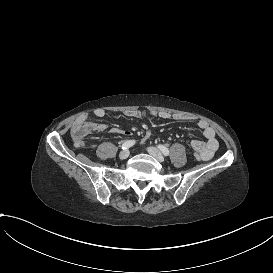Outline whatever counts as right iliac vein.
<instances>
[{
  "label": "right iliac vein",
  "instance_id": "63e3f726",
  "mask_svg": "<svg viewBox=\"0 0 273 273\" xmlns=\"http://www.w3.org/2000/svg\"><path fill=\"white\" fill-rule=\"evenodd\" d=\"M128 156H129V150H127V149L121 151L120 154H119V158L121 160H124V159L128 158Z\"/></svg>",
  "mask_w": 273,
  "mask_h": 273
}]
</instances>
